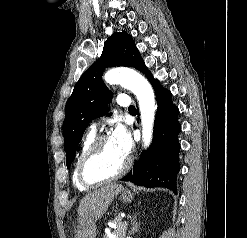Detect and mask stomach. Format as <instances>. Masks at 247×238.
Instances as JSON below:
<instances>
[{"label": "stomach", "instance_id": "stomach-1", "mask_svg": "<svg viewBox=\"0 0 247 238\" xmlns=\"http://www.w3.org/2000/svg\"><path fill=\"white\" fill-rule=\"evenodd\" d=\"M120 198L124 201V202H131L133 200V193H131L130 191H124Z\"/></svg>", "mask_w": 247, "mask_h": 238}]
</instances>
